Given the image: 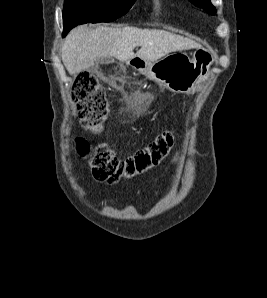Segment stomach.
Instances as JSON below:
<instances>
[{"label":"stomach","instance_id":"obj_1","mask_svg":"<svg viewBox=\"0 0 267 298\" xmlns=\"http://www.w3.org/2000/svg\"><path fill=\"white\" fill-rule=\"evenodd\" d=\"M214 61L212 51L197 48L191 57L185 53H175L155 62L138 58L136 67L146 78L165 86L173 93L191 94L208 78Z\"/></svg>","mask_w":267,"mask_h":298}]
</instances>
